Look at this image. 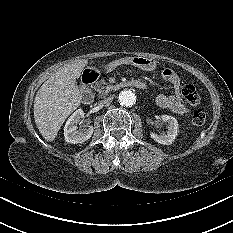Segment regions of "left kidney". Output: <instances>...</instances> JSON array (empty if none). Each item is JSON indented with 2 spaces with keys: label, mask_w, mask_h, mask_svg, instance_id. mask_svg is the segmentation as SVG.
<instances>
[{
  "label": "left kidney",
  "mask_w": 233,
  "mask_h": 233,
  "mask_svg": "<svg viewBox=\"0 0 233 233\" xmlns=\"http://www.w3.org/2000/svg\"><path fill=\"white\" fill-rule=\"evenodd\" d=\"M161 120L168 123L167 133L156 134L151 132L150 136L156 142L163 145H170L175 140L178 133V122L173 116L162 115Z\"/></svg>",
  "instance_id": "obj_1"
}]
</instances>
